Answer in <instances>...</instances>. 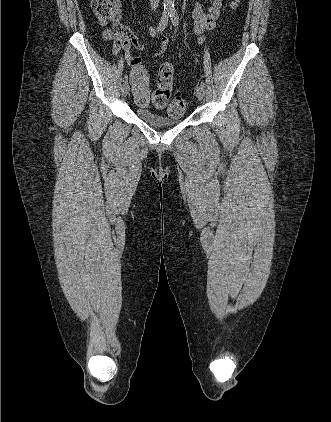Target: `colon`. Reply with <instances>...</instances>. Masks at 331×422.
Listing matches in <instances>:
<instances>
[{"label":"colon","mask_w":331,"mask_h":422,"mask_svg":"<svg viewBox=\"0 0 331 422\" xmlns=\"http://www.w3.org/2000/svg\"><path fill=\"white\" fill-rule=\"evenodd\" d=\"M239 2L240 0H233L232 7L237 8ZM92 8L102 24L119 20L116 0H92ZM173 74L174 65L171 62H165L160 66L157 86L152 93V101L157 108H163L167 105L169 115L176 117L184 113L186 102L180 92L172 94ZM131 75L143 82L149 78L148 70L143 65L133 67ZM147 98L146 90H139V100L145 102Z\"/></svg>","instance_id":"1"}]
</instances>
